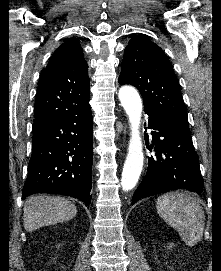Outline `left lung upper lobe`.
I'll return each mask as SVG.
<instances>
[{
	"instance_id": "obj_1",
	"label": "left lung upper lobe",
	"mask_w": 221,
	"mask_h": 271,
	"mask_svg": "<svg viewBox=\"0 0 221 271\" xmlns=\"http://www.w3.org/2000/svg\"><path fill=\"white\" fill-rule=\"evenodd\" d=\"M119 83L134 85L144 110L190 133L179 82L163 50L145 36L133 37L124 51Z\"/></svg>"
}]
</instances>
